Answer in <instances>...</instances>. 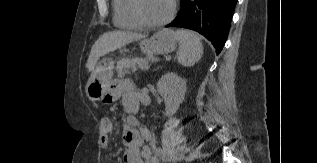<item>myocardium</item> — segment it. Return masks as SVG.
<instances>
[{"label": "myocardium", "mask_w": 317, "mask_h": 163, "mask_svg": "<svg viewBox=\"0 0 317 163\" xmlns=\"http://www.w3.org/2000/svg\"><path fill=\"white\" fill-rule=\"evenodd\" d=\"M178 8V0H172L170 13L166 18L157 22L147 20L141 10V0H131V11L137 22L143 27L160 28L170 23L176 15Z\"/></svg>", "instance_id": "myocardium-1"}]
</instances>
